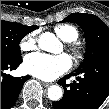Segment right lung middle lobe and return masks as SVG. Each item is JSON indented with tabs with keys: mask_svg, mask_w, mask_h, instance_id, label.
I'll list each match as a JSON object with an SVG mask.
<instances>
[{
	"mask_svg": "<svg viewBox=\"0 0 109 109\" xmlns=\"http://www.w3.org/2000/svg\"><path fill=\"white\" fill-rule=\"evenodd\" d=\"M37 28V26L1 21V59L7 61L21 59L20 41Z\"/></svg>",
	"mask_w": 109,
	"mask_h": 109,
	"instance_id": "1",
	"label": "right lung middle lobe"
}]
</instances>
